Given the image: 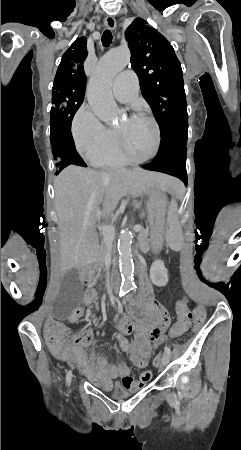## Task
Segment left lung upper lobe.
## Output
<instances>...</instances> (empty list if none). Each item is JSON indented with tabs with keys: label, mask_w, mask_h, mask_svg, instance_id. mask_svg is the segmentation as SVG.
I'll use <instances>...</instances> for the list:
<instances>
[{
	"label": "left lung upper lobe",
	"mask_w": 241,
	"mask_h": 450,
	"mask_svg": "<svg viewBox=\"0 0 241 450\" xmlns=\"http://www.w3.org/2000/svg\"><path fill=\"white\" fill-rule=\"evenodd\" d=\"M131 65L141 92L150 104L161 133L178 118L187 116L183 73L170 43L146 21L135 19L126 30Z\"/></svg>",
	"instance_id": "5c2ea615"
}]
</instances>
